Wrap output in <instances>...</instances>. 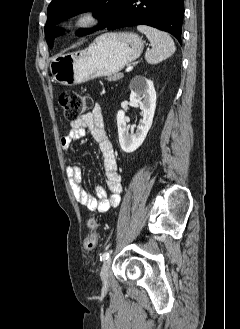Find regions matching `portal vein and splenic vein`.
<instances>
[{
	"instance_id": "18ae733b",
	"label": "portal vein and splenic vein",
	"mask_w": 240,
	"mask_h": 329,
	"mask_svg": "<svg viewBox=\"0 0 240 329\" xmlns=\"http://www.w3.org/2000/svg\"><path fill=\"white\" fill-rule=\"evenodd\" d=\"M133 69L132 65L127 66V68L125 69V72H130Z\"/></svg>"
}]
</instances>
